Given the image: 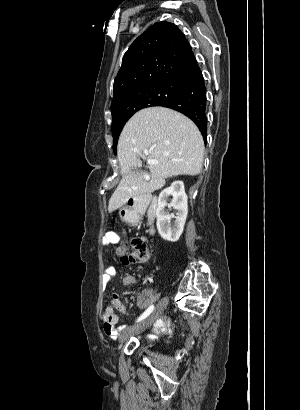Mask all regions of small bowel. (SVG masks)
I'll return each mask as SVG.
<instances>
[{"label": "small bowel", "instance_id": "small-bowel-1", "mask_svg": "<svg viewBox=\"0 0 300 410\" xmlns=\"http://www.w3.org/2000/svg\"><path fill=\"white\" fill-rule=\"evenodd\" d=\"M118 242V236L116 234H109L107 236V243L108 244H115ZM117 253L122 254L124 253V248L123 247H118L117 248ZM116 269L113 266H107L104 269V276H103V286L106 288L109 283L115 278L116 276ZM137 280L133 276H125L122 281L120 288H125L131 284L136 283ZM139 307H143V303L139 301ZM125 311V305L123 304L120 296L118 293H114L111 299V302L109 305H107L104 309L103 312V329L105 334L110 337L111 339H115L118 337V335L124 331L127 330L126 325H120L117 326V323L119 321V317L117 312H124ZM166 324L164 319H160L157 323V332H163L165 330Z\"/></svg>", "mask_w": 300, "mask_h": 410}]
</instances>
